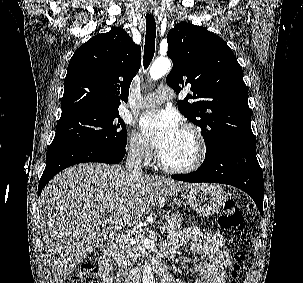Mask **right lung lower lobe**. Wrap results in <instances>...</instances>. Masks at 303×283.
I'll return each instance as SVG.
<instances>
[{
    "label": "right lung lower lobe",
    "instance_id": "98d812e1",
    "mask_svg": "<svg viewBox=\"0 0 303 283\" xmlns=\"http://www.w3.org/2000/svg\"><path fill=\"white\" fill-rule=\"evenodd\" d=\"M125 149L113 150L90 145L49 147L46 167L39 181L38 196L45 185L61 170L79 163L100 162L117 164L123 160Z\"/></svg>",
    "mask_w": 303,
    "mask_h": 283
}]
</instances>
